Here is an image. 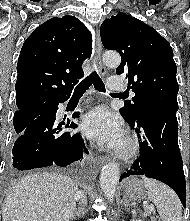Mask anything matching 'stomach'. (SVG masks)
Instances as JSON below:
<instances>
[{
    "label": "stomach",
    "mask_w": 190,
    "mask_h": 221,
    "mask_svg": "<svg viewBox=\"0 0 190 221\" xmlns=\"http://www.w3.org/2000/svg\"><path fill=\"white\" fill-rule=\"evenodd\" d=\"M124 194L133 200H142L148 196L147 189L138 178H129L125 181Z\"/></svg>",
    "instance_id": "1"
}]
</instances>
